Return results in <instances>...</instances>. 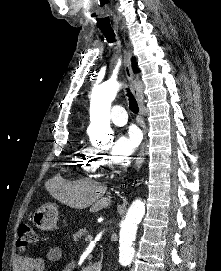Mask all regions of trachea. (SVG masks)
<instances>
[{"label":"trachea","mask_w":221,"mask_h":271,"mask_svg":"<svg viewBox=\"0 0 221 271\" xmlns=\"http://www.w3.org/2000/svg\"><path fill=\"white\" fill-rule=\"evenodd\" d=\"M102 31V33L104 34V36L106 37V39L108 40V42L113 43L115 42V33L113 31V29L111 27H99ZM127 96L129 99V108L133 113H138L139 108H138V104L137 101L135 100V98L133 97L131 91L129 90V88H127Z\"/></svg>","instance_id":"obj_1"}]
</instances>
